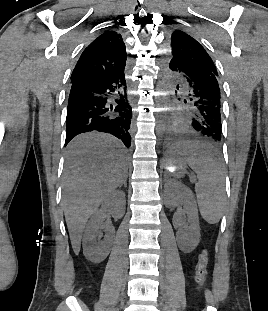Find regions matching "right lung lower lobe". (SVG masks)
Returning a JSON list of instances; mask_svg holds the SVG:
<instances>
[{
    "label": "right lung lower lobe",
    "instance_id": "1",
    "mask_svg": "<svg viewBox=\"0 0 268 311\" xmlns=\"http://www.w3.org/2000/svg\"><path fill=\"white\" fill-rule=\"evenodd\" d=\"M131 118L124 71L74 81L67 107L65 146L78 134L99 131L114 135L130 147Z\"/></svg>",
    "mask_w": 268,
    "mask_h": 311
}]
</instances>
